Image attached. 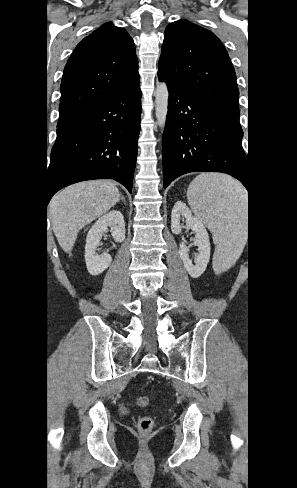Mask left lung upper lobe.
Masks as SVG:
<instances>
[{
    "label": "left lung upper lobe",
    "instance_id": "1",
    "mask_svg": "<svg viewBox=\"0 0 297 488\" xmlns=\"http://www.w3.org/2000/svg\"><path fill=\"white\" fill-rule=\"evenodd\" d=\"M158 75L210 108L239 121L236 74L221 41L187 20L165 29Z\"/></svg>",
    "mask_w": 297,
    "mask_h": 488
}]
</instances>
